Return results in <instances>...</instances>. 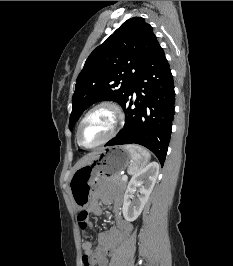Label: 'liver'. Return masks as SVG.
Listing matches in <instances>:
<instances>
[{"instance_id":"1","label":"liver","mask_w":233,"mask_h":266,"mask_svg":"<svg viewBox=\"0 0 233 266\" xmlns=\"http://www.w3.org/2000/svg\"><path fill=\"white\" fill-rule=\"evenodd\" d=\"M100 151H96V152H92V153H89L88 155H86L85 157H83L82 159H80L77 164L75 165V168L74 170H77L78 168L84 166V165H87L89 163H91L95 158L96 156L99 154Z\"/></svg>"}]
</instances>
